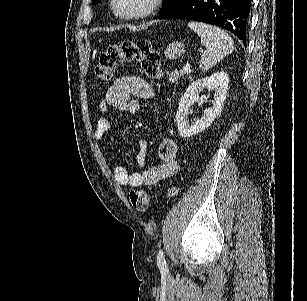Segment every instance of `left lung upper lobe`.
Returning <instances> with one entry per match:
<instances>
[{
  "mask_svg": "<svg viewBox=\"0 0 307 301\" xmlns=\"http://www.w3.org/2000/svg\"><path fill=\"white\" fill-rule=\"evenodd\" d=\"M178 1L179 0H164L165 4H164L160 14L164 13L166 10H168L170 7H172ZM98 2H100V0H93L92 4H96Z\"/></svg>",
  "mask_w": 307,
  "mask_h": 301,
  "instance_id": "left-lung-upper-lobe-1",
  "label": "left lung upper lobe"
}]
</instances>
